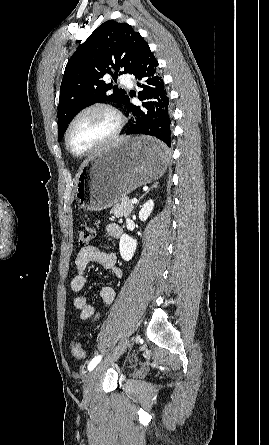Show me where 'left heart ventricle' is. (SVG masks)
Listing matches in <instances>:
<instances>
[{
  "label": "left heart ventricle",
  "instance_id": "obj_1",
  "mask_svg": "<svg viewBox=\"0 0 269 445\" xmlns=\"http://www.w3.org/2000/svg\"><path fill=\"white\" fill-rule=\"evenodd\" d=\"M113 127V120L102 111H93L82 116L73 127L69 145L75 153L91 147L106 136Z\"/></svg>",
  "mask_w": 269,
  "mask_h": 445
}]
</instances>
